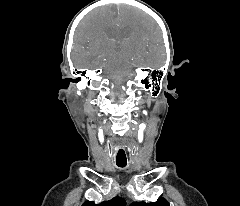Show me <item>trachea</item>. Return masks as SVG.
Segmentation results:
<instances>
[{"label": "trachea", "mask_w": 240, "mask_h": 206, "mask_svg": "<svg viewBox=\"0 0 240 206\" xmlns=\"http://www.w3.org/2000/svg\"><path fill=\"white\" fill-rule=\"evenodd\" d=\"M127 163H117V166L119 167H125Z\"/></svg>", "instance_id": "3493384b"}]
</instances>
